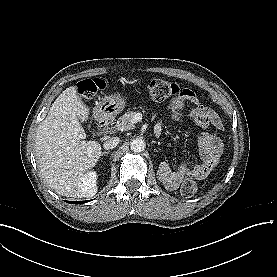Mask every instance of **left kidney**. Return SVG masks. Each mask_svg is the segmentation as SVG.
<instances>
[{"label": "left kidney", "instance_id": "1", "mask_svg": "<svg viewBox=\"0 0 277 277\" xmlns=\"http://www.w3.org/2000/svg\"><path fill=\"white\" fill-rule=\"evenodd\" d=\"M157 175L159 180L168 186H173L175 184L177 185L183 178L182 173L180 172L172 173L169 168V165L166 162L160 163Z\"/></svg>", "mask_w": 277, "mask_h": 277}]
</instances>
